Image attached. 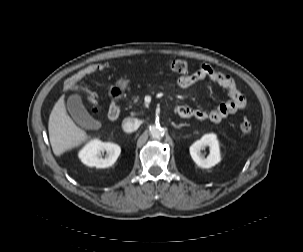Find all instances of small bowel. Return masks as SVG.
Listing matches in <instances>:
<instances>
[{
  "label": "small bowel",
  "mask_w": 303,
  "mask_h": 252,
  "mask_svg": "<svg viewBox=\"0 0 303 252\" xmlns=\"http://www.w3.org/2000/svg\"><path fill=\"white\" fill-rule=\"evenodd\" d=\"M204 80H210L226 90L229 99L210 111L194 109L189 105H180L176 108L180 116L218 123L244 107L245 97L240 92L235 81L230 76L222 74L205 64L201 65L194 73L179 77L177 85L181 89H187Z\"/></svg>",
  "instance_id": "c3829d8e"
}]
</instances>
